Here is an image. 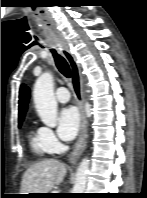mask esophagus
Segmentation results:
<instances>
[{
	"mask_svg": "<svg viewBox=\"0 0 147 198\" xmlns=\"http://www.w3.org/2000/svg\"><path fill=\"white\" fill-rule=\"evenodd\" d=\"M58 49L60 53L66 58V60L68 61L70 65L71 73H72L73 92L77 100V103L80 109V115H81L80 135L78 137V140L75 144V148L69 159L71 163H75V161L78 159L80 154L83 152L86 146L87 138H88V134H87L88 122H87L85 109H84L83 83H82V78H81L80 67L75 57L70 52L68 45L65 42H62L58 46Z\"/></svg>",
	"mask_w": 147,
	"mask_h": 198,
	"instance_id": "obj_1",
	"label": "esophagus"
}]
</instances>
